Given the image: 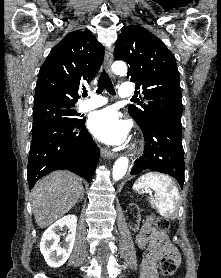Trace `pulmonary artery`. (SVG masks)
Segmentation results:
<instances>
[{"instance_id":"1","label":"pulmonary artery","mask_w":221,"mask_h":278,"mask_svg":"<svg viewBox=\"0 0 221 278\" xmlns=\"http://www.w3.org/2000/svg\"><path fill=\"white\" fill-rule=\"evenodd\" d=\"M89 95H90V98L88 100L83 101L79 105V109L81 111H89V110L101 107L108 102V100L103 96L96 95L93 93H90ZM133 95H134V91L130 85H128V84L121 85V87L119 89V96L121 98L130 99L133 97Z\"/></svg>"}]
</instances>
